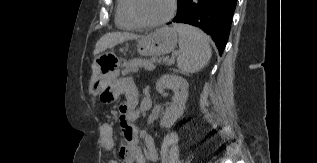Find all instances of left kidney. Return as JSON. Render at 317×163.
Returning a JSON list of instances; mask_svg holds the SVG:
<instances>
[{"mask_svg": "<svg viewBox=\"0 0 317 163\" xmlns=\"http://www.w3.org/2000/svg\"><path fill=\"white\" fill-rule=\"evenodd\" d=\"M188 86V82L183 77L175 74H165L157 81L156 90L160 94H164L165 89H172L175 92L170 106L166 108L160 121L161 127H171L183 115L188 98Z\"/></svg>", "mask_w": 317, "mask_h": 163, "instance_id": "5707ae66", "label": "left kidney"}]
</instances>
